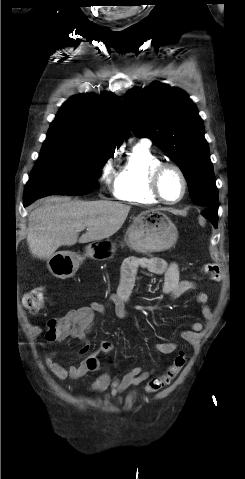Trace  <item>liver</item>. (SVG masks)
I'll use <instances>...</instances> for the list:
<instances>
[{
	"instance_id": "1",
	"label": "liver",
	"mask_w": 245,
	"mask_h": 479,
	"mask_svg": "<svg viewBox=\"0 0 245 479\" xmlns=\"http://www.w3.org/2000/svg\"><path fill=\"white\" fill-rule=\"evenodd\" d=\"M129 211V205L119 202L50 197L28 216L29 249L34 256L48 260L61 246L109 238L122 227ZM85 228L86 233L78 239Z\"/></svg>"
}]
</instances>
